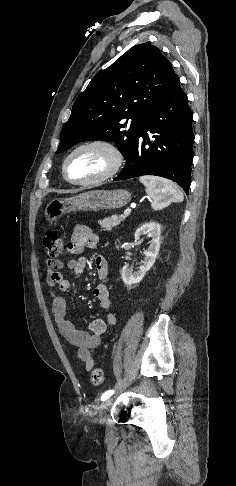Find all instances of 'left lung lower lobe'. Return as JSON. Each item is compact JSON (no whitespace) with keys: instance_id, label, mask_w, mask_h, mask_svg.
I'll return each mask as SVG.
<instances>
[{"instance_id":"obj_1","label":"left lung lower lobe","mask_w":236,"mask_h":486,"mask_svg":"<svg viewBox=\"0 0 236 486\" xmlns=\"http://www.w3.org/2000/svg\"><path fill=\"white\" fill-rule=\"evenodd\" d=\"M193 113L178 80L147 118L114 180L156 175L176 182L188 194L191 182ZM153 135L149 136L147 132Z\"/></svg>"}]
</instances>
